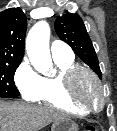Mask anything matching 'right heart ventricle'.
I'll return each instance as SVG.
<instances>
[{
  "label": "right heart ventricle",
  "instance_id": "right-heart-ventricle-1",
  "mask_svg": "<svg viewBox=\"0 0 117 131\" xmlns=\"http://www.w3.org/2000/svg\"><path fill=\"white\" fill-rule=\"evenodd\" d=\"M54 62L58 72L55 76L43 77L42 88L36 101L76 116L88 115L90 111L73 102L65 90L66 74L77 67L74 58L55 59Z\"/></svg>",
  "mask_w": 117,
  "mask_h": 131
}]
</instances>
